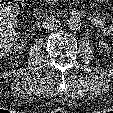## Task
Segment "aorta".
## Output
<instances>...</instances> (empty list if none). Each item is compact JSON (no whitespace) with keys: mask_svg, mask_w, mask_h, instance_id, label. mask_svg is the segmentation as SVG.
<instances>
[{"mask_svg":"<svg viewBox=\"0 0 113 113\" xmlns=\"http://www.w3.org/2000/svg\"><path fill=\"white\" fill-rule=\"evenodd\" d=\"M67 25L71 30H78L82 26V20L79 16L73 15L67 19Z\"/></svg>","mask_w":113,"mask_h":113,"instance_id":"762f6f07","label":"aorta"}]
</instances>
